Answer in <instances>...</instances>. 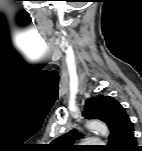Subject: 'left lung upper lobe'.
<instances>
[{"mask_svg":"<svg viewBox=\"0 0 142 151\" xmlns=\"http://www.w3.org/2000/svg\"><path fill=\"white\" fill-rule=\"evenodd\" d=\"M82 115L88 119L98 118L104 121L111 133L109 136V145L106 147L110 150L119 138L133 127L125 109L122 105L110 96H97L86 100V105ZM78 136L75 130L64 134L50 143V146L56 151H67L74 148L72 143Z\"/></svg>","mask_w":142,"mask_h":151,"instance_id":"5c2ea615","label":"left lung upper lobe"}]
</instances>
